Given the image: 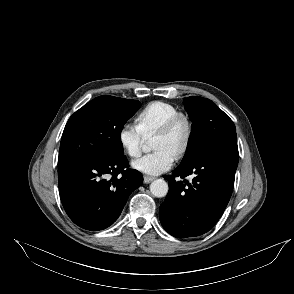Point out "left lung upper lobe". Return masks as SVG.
<instances>
[{
    "label": "left lung upper lobe",
    "mask_w": 294,
    "mask_h": 294,
    "mask_svg": "<svg viewBox=\"0 0 294 294\" xmlns=\"http://www.w3.org/2000/svg\"><path fill=\"white\" fill-rule=\"evenodd\" d=\"M184 104L192 121V132L179 166L190 164L214 144L237 138L233 121L211 100L191 96Z\"/></svg>",
    "instance_id": "obj_1"
}]
</instances>
